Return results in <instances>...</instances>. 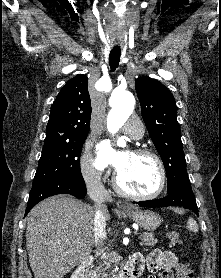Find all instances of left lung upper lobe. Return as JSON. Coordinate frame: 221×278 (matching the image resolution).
<instances>
[{"label": "left lung upper lobe", "instance_id": "1", "mask_svg": "<svg viewBox=\"0 0 221 278\" xmlns=\"http://www.w3.org/2000/svg\"><path fill=\"white\" fill-rule=\"evenodd\" d=\"M135 81L142 117L162 158L167 175V190L170 191L181 181L189 179L175 99L156 79L140 77Z\"/></svg>", "mask_w": 221, "mask_h": 278}]
</instances>
